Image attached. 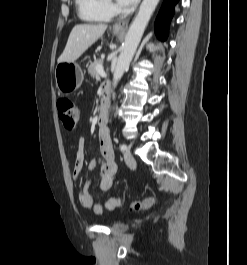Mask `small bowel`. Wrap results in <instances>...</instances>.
Listing matches in <instances>:
<instances>
[{"mask_svg":"<svg viewBox=\"0 0 247 265\" xmlns=\"http://www.w3.org/2000/svg\"><path fill=\"white\" fill-rule=\"evenodd\" d=\"M100 155L98 159L91 160L86 169L85 181L79 194V201L81 205L87 209L92 210L95 214H101L103 211L102 205L98 202L97 197L91 191L93 184L92 175L97 166L99 160L100 165V181L98 188L101 191L110 190L116 180L118 173V166L115 162L114 151L112 147L110 131L106 127H102L98 132ZM85 158V138L82 136L79 138L76 159L73 170V177L77 179L84 166ZM105 208L109 211H113L122 206V203L115 198H110L105 202Z\"/></svg>","mask_w":247,"mask_h":265,"instance_id":"obj_1","label":"small bowel"}]
</instances>
